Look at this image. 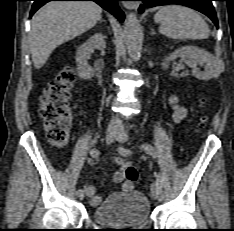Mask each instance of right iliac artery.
<instances>
[{"instance_id":"1","label":"right iliac artery","mask_w":234,"mask_h":231,"mask_svg":"<svg viewBox=\"0 0 234 231\" xmlns=\"http://www.w3.org/2000/svg\"><path fill=\"white\" fill-rule=\"evenodd\" d=\"M90 155H91V157H93V158H96V157H98V155H99V151L97 150V149H92L91 151H90ZM84 192V190L83 189H78L77 190V194H80V193H83Z\"/></svg>"}]
</instances>
